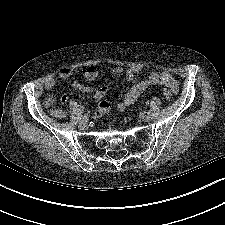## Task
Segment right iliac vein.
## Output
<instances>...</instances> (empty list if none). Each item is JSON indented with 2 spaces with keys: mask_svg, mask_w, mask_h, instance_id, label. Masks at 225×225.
<instances>
[{
  "mask_svg": "<svg viewBox=\"0 0 225 225\" xmlns=\"http://www.w3.org/2000/svg\"><path fill=\"white\" fill-rule=\"evenodd\" d=\"M79 127H80L81 129H86V128L88 127V124H87L86 121H80Z\"/></svg>",
  "mask_w": 225,
  "mask_h": 225,
  "instance_id": "1",
  "label": "right iliac vein"
}]
</instances>
